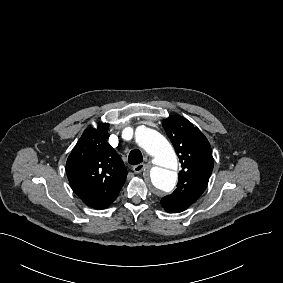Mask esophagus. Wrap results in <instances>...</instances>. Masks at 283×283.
I'll return each mask as SVG.
<instances>
[{
  "label": "esophagus",
  "mask_w": 283,
  "mask_h": 283,
  "mask_svg": "<svg viewBox=\"0 0 283 283\" xmlns=\"http://www.w3.org/2000/svg\"><path fill=\"white\" fill-rule=\"evenodd\" d=\"M146 164L145 163H141V164H137L135 166H133V171L136 173V174H139L140 172H142L145 168H146Z\"/></svg>",
  "instance_id": "34e87169"
}]
</instances>
